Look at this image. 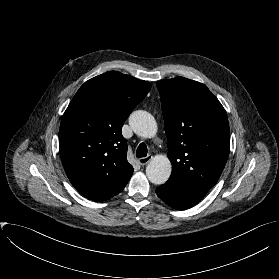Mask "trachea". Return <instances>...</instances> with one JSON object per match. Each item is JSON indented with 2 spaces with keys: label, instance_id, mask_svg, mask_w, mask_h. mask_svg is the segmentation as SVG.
<instances>
[{
  "label": "trachea",
  "instance_id": "1",
  "mask_svg": "<svg viewBox=\"0 0 279 279\" xmlns=\"http://www.w3.org/2000/svg\"><path fill=\"white\" fill-rule=\"evenodd\" d=\"M147 146L145 143H140L138 148H137V151H136V157L137 158H142V157H146L147 156Z\"/></svg>",
  "mask_w": 279,
  "mask_h": 279
}]
</instances>
